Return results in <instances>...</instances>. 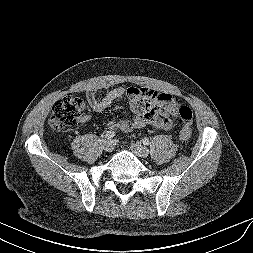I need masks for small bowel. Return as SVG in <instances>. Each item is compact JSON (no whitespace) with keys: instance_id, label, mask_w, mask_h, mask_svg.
Masks as SVG:
<instances>
[{"instance_id":"c3829d8e","label":"small bowel","mask_w":253,"mask_h":253,"mask_svg":"<svg viewBox=\"0 0 253 253\" xmlns=\"http://www.w3.org/2000/svg\"><path fill=\"white\" fill-rule=\"evenodd\" d=\"M86 98L89 106L98 112L128 99L134 117L110 120L107 124L110 131L129 132L145 126L167 130L172 125V119L180 118L181 109L186 107L180 106L172 94L138 87H118L101 96L96 90H89Z\"/></svg>"}]
</instances>
